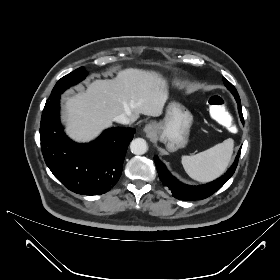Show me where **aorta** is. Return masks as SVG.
Here are the masks:
<instances>
[{
	"mask_svg": "<svg viewBox=\"0 0 280 280\" xmlns=\"http://www.w3.org/2000/svg\"><path fill=\"white\" fill-rule=\"evenodd\" d=\"M147 149V143L143 138H136L130 143V150L135 155L145 154Z\"/></svg>",
	"mask_w": 280,
	"mask_h": 280,
	"instance_id": "1",
	"label": "aorta"
}]
</instances>
